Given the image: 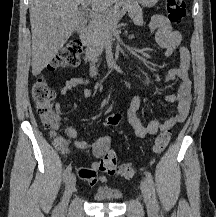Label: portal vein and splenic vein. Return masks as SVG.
<instances>
[{
	"mask_svg": "<svg viewBox=\"0 0 216 217\" xmlns=\"http://www.w3.org/2000/svg\"><path fill=\"white\" fill-rule=\"evenodd\" d=\"M81 6H82V10L89 14V16L93 19V20H97V19H100L101 18V15L99 13H97L96 11H91L88 6H89V3H86V2H82L81 3ZM125 13V8L123 10H121L120 12L117 13V16H116V19H115V22H117Z\"/></svg>",
	"mask_w": 216,
	"mask_h": 217,
	"instance_id": "obj_1",
	"label": "portal vein and splenic vein"
}]
</instances>
